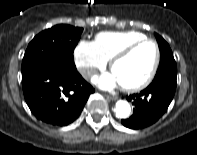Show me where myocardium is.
Listing matches in <instances>:
<instances>
[{"instance_id":"1","label":"myocardium","mask_w":197,"mask_h":155,"mask_svg":"<svg viewBox=\"0 0 197 155\" xmlns=\"http://www.w3.org/2000/svg\"><path fill=\"white\" fill-rule=\"evenodd\" d=\"M145 43H151V44H153V46L155 48V59H154L153 65H152L148 75L141 82H139L135 85H121L122 89L126 92L133 93V92L141 91V90L145 89L148 85H150V83L153 81V79L158 71L160 59H161V51H160L159 45L154 39H151V38L140 39V40L132 42V43L124 46L123 48H121L119 51H117L112 56V58L110 60V68L112 70L114 65L119 60L125 58L131 52H133L137 47H139Z\"/></svg>"}]
</instances>
